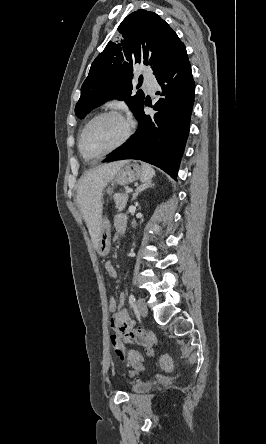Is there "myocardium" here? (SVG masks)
<instances>
[{
	"mask_svg": "<svg viewBox=\"0 0 266 444\" xmlns=\"http://www.w3.org/2000/svg\"><path fill=\"white\" fill-rule=\"evenodd\" d=\"M105 116H114V117L119 118V119L124 123V126H125V133H124V135L122 136V138L118 141V143L115 144L112 148H110V149H108V150H106V151H104V152H102V153L96 154V155H89V154L85 151L84 146H83V138H84V135H85L87 129L89 128V126H90L94 121H96V120L99 119V118L105 117ZM132 132H133V129H132L131 122L128 120V118H127L123 113H121L120 111H117V110H105V111L99 112V113H97L96 115H94V116H93V117H92V118H91V119L85 124V126L83 127V129H82V131H81V133H80V135H79V138H78V148H79L80 153H81L84 157H90V156H98V157H101V156H105V155L110 154V153H112V152H114V151L120 149L121 147H123V146L129 141L130 137L132 136Z\"/></svg>",
	"mask_w": 266,
	"mask_h": 444,
	"instance_id": "f54148a6",
	"label": "myocardium"
}]
</instances>
